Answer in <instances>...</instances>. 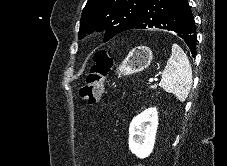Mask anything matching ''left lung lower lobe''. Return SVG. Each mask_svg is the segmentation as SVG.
<instances>
[{"label": "left lung lower lobe", "mask_w": 227, "mask_h": 166, "mask_svg": "<svg viewBox=\"0 0 227 166\" xmlns=\"http://www.w3.org/2000/svg\"><path fill=\"white\" fill-rule=\"evenodd\" d=\"M153 27L176 32L195 56V22L187 0H148L133 29Z\"/></svg>", "instance_id": "obj_1"}]
</instances>
